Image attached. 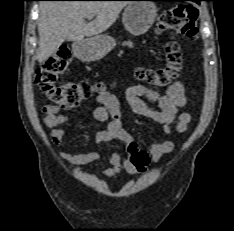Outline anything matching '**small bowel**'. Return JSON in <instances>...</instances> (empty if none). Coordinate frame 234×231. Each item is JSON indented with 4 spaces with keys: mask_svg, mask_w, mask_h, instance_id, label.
Instances as JSON below:
<instances>
[{
    "mask_svg": "<svg viewBox=\"0 0 234 231\" xmlns=\"http://www.w3.org/2000/svg\"><path fill=\"white\" fill-rule=\"evenodd\" d=\"M125 97L134 113L161 125L157 136L169 134L174 125L178 133L185 132L189 126L190 115L180 113V108L187 103L185 88L180 81L174 82L165 95L141 85H132L126 90ZM97 102L99 106L93 112L94 117L100 122L107 123V126L96 133V142L103 144L119 140L125 145L131 143L133 137L122 126L121 109L117 97L103 92L97 96ZM147 102L154 103L157 108L151 109ZM43 112L45 113L43 122L50 131L51 141L55 146H59L66 134L63 126L68 122L69 117L60 114L58 109L51 105L44 106ZM174 147V143L169 140L151 142L148 147L151 160L159 161L163 155L172 152ZM60 156L66 163L73 166L94 164L101 158L98 151L77 154L61 153ZM108 162L111 166L104 170L103 174L109 178L119 175L123 170L129 173L136 171L131 162L127 158H122L117 152H112L108 156Z\"/></svg>",
    "mask_w": 234,
    "mask_h": 231,
    "instance_id": "small-bowel-1",
    "label": "small bowel"
}]
</instances>
